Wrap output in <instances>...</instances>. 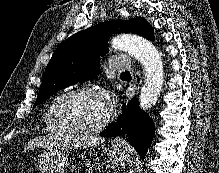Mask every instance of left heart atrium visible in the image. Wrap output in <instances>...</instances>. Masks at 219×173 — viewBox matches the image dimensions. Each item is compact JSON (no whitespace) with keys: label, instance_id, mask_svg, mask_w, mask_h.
Listing matches in <instances>:
<instances>
[{"label":"left heart atrium","instance_id":"1","mask_svg":"<svg viewBox=\"0 0 219 173\" xmlns=\"http://www.w3.org/2000/svg\"><path fill=\"white\" fill-rule=\"evenodd\" d=\"M103 99H104L106 106L109 108V106H111V104H112V96L107 93V94L103 95Z\"/></svg>","mask_w":219,"mask_h":173}]
</instances>
